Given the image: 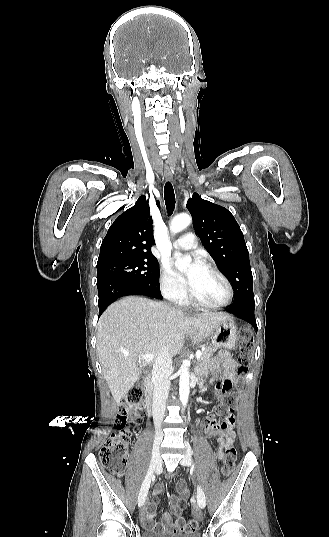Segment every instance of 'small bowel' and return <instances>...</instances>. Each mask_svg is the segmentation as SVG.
Instances as JSON below:
<instances>
[{"instance_id": "c3829d8e", "label": "small bowel", "mask_w": 329, "mask_h": 537, "mask_svg": "<svg viewBox=\"0 0 329 537\" xmlns=\"http://www.w3.org/2000/svg\"><path fill=\"white\" fill-rule=\"evenodd\" d=\"M237 363L226 352L220 353L215 357L210 365L208 373L212 377L221 376L222 379L217 380L215 389L220 392L222 396H227L231 391L234 382L237 378ZM205 434L207 437H218L217 440L220 444L216 457L218 460H223L226 455V450L233 445L235 441V434L232 428L228 430H222L217 428L211 421L205 423ZM162 486L158 484L152 495V499L146 503L141 512V519L144 528L156 533H179L184 530L183 519V505L188 497L189 491L186 484L181 481L177 485L178 495H170L169 503L171 505L172 514L175 520L172 519L169 513H164L162 521L156 522V509L159 502V495Z\"/></svg>"}]
</instances>
